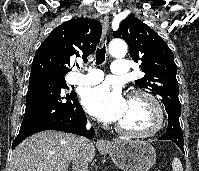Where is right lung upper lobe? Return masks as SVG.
<instances>
[{
  "instance_id": "cb5924a9",
  "label": "right lung upper lobe",
  "mask_w": 199,
  "mask_h": 171,
  "mask_svg": "<svg viewBox=\"0 0 199 171\" xmlns=\"http://www.w3.org/2000/svg\"><path fill=\"white\" fill-rule=\"evenodd\" d=\"M102 26L87 18L71 19L55 28L37 50L31 76L52 75L64 77L69 72L70 60H87L99 43Z\"/></svg>"
}]
</instances>
